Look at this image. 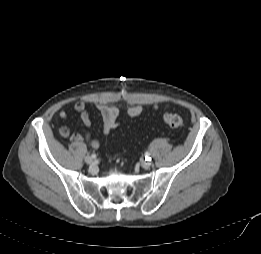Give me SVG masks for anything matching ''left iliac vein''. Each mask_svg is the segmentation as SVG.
<instances>
[{"mask_svg":"<svg viewBox=\"0 0 261 254\" xmlns=\"http://www.w3.org/2000/svg\"><path fill=\"white\" fill-rule=\"evenodd\" d=\"M141 166H142L144 169H148V168L151 166V162H150V161L143 160V161L141 162Z\"/></svg>","mask_w":261,"mask_h":254,"instance_id":"1","label":"left iliac vein"}]
</instances>
